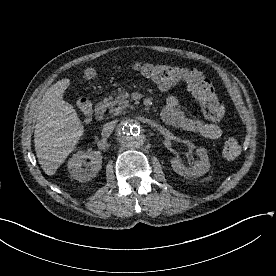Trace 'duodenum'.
Listing matches in <instances>:
<instances>
[{"label": "duodenum", "mask_w": 276, "mask_h": 276, "mask_svg": "<svg viewBox=\"0 0 276 276\" xmlns=\"http://www.w3.org/2000/svg\"><path fill=\"white\" fill-rule=\"evenodd\" d=\"M107 107L108 102L106 100H103L96 105L94 115L97 120L101 121L104 119Z\"/></svg>", "instance_id": "obj_1"}]
</instances>
